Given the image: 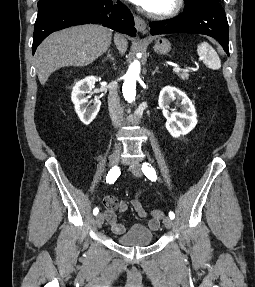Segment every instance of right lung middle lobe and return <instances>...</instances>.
<instances>
[{
	"mask_svg": "<svg viewBox=\"0 0 255 287\" xmlns=\"http://www.w3.org/2000/svg\"><path fill=\"white\" fill-rule=\"evenodd\" d=\"M110 4H112L111 0H39L38 15L65 7H91L103 11Z\"/></svg>",
	"mask_w": 255,
	"mask_h": 287,
	"instance_id": "dd1d6c3e",
	"label": "right lung middle lobe"
}]
</instances>
